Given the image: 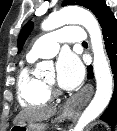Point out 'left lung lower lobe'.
I'll list each match as a JSON object with an SVG mask.
<instances>
[{"label":"left lung lower lobe","instance_id":"obj_1","mask_svg":"<svg viewBox=\"0 0 117 131\" xmlns=\"http://www.w3.org/2000/svg\"><path fill=\"white\" fill-rule=\"evenodd\" d=\"M102 28L105 48L110 60L112 73L114 74V92L108 108L101 116L112 127L117 122V20L109 7L106 5L97 15ZM88 79L93 78L92 67H88Z\"/></svg>","mask_w":117,"mask_h":131}]
</instances>
